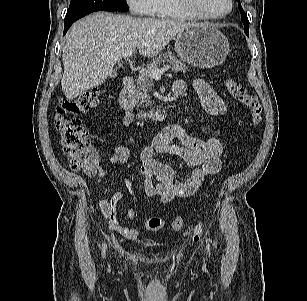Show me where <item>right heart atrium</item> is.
Wrapping results in <instances>:
<instances>
[{
    "mask_svg": "<svg viewBox=\"0 0 307 301\" xmlns=\"http://www.w3.org/2000/svg\"><path fill=\"white\" fill-rule=\"evenodd\" d=\"M130 10L137 15H151L155 9V0H126Z\"/></svg>",
    "mask_w": 307,
    "mask_h": 301,
    "instance_id": "1",
    "label": "right heart atrium"
}]
</instances>
